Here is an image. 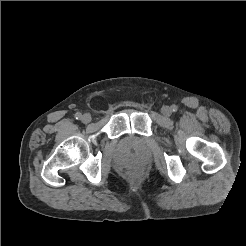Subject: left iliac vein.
<instances>
[{"label":"left iliac vein","mask_w":246,"mask_h":246,"mask_svg":"<svg viewBox=\"0 0 246 246\" xmlns=\"http://www.w3.org/2000/svg\"><path fill=\"white\" fill-rule=\"evenodd\" d=\"M161 112L165 116H170L171 115V108L168 106H163L161 109Z\"/></svg>","instance_id":"left-iliac-vein-1"}]
</instances>
